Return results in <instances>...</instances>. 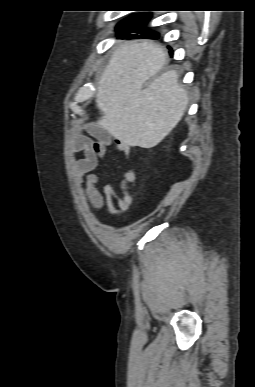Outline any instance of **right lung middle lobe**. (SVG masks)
<instances>
[{"instance_id":"dd1d6c3e","label":"right lung middle lobe","mask_w":255,"mask_h":387,"mask_svg":"<svg viewBox=\"0 0 255 387\" xmlns=\"http://www.w3.org/2000/svg\"><path fill=\"white\" fill-rule=\"evenodd\" d=\"M151 17L150 14H138V15H131L124 21L118 24L117 31H127L130 33H143L145 32V24ZM150 35H153V33H150ZM156 36L157 33H154Z\"/></svg>"}]
</instances>
